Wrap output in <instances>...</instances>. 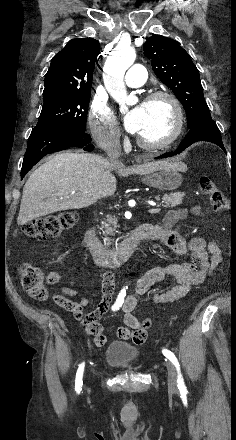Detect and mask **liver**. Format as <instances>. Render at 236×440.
I'll return each mask as SVG.
<instances>
[{"label":"liver","mask_w":236,"mask_h":440,"mask_svg":"<svg viewBox=\"0 0 236 440\" xmlns=\"http://www.w3.org/2000/svg\"><path fill=\"white\" fill-rule=\"evenodd\" d=\"M177 165L152 161L125 168L95 154L59 153L36 169L25 183L17 223L24 225L54 212L85 208L113 195L117 186L113 170L120 176L146 175Z\"/></svg>","instance_id":"liver-1"}]
</instances>
